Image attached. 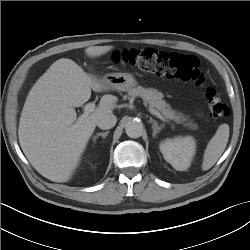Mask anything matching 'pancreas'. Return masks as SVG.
I'll list each match as a JSON object with an SVG mask.
<instances>
[{"label":"pancreas","instance_id":"pancreas-1","mask_svg":"<svg viewBox=\"0 0 250 250\" xmlns=\"http://www.w3.org/2000/svg\"><path fill=\"white\" fill-rule=\"evenodd\" d=\"M128 96H139L144 101L149 103L150 108H154L159 111L165 118L175 121L176 123H185L187 118L181 116L176 112L171 106L163 100L164 95L153 88H144L142 86H137L128 92ZM190 129H197L196 123L187 122L184 124Z\"/></svg>","mask_w":250,"mask_h":250}]
</instances>
